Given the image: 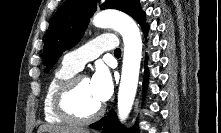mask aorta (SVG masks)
<instances>
[{
	"label": "aorta",
	"instance_id": "aorta-1",
	"mask_svg": "<svg viewBox=\"0 0 221 133\" xmlns=\"http://www.w3.org/2000/svg\"><path fill=\"white\" fill-rule=\"evenodd\" d=\"M93 24L99 28H113L124 41V56L121 81L118 91V117L124 122L129 116L138 85L142 58V39L135 21L128 15L117 11H103L96 14Z\"/></svg>",
	"mask_w": 221,
	"mask_h": 133
}]
</instances>
